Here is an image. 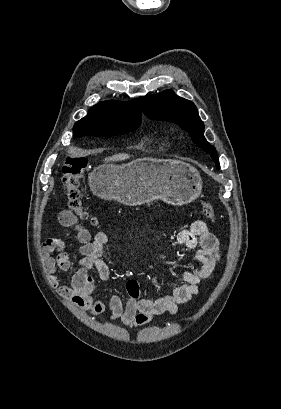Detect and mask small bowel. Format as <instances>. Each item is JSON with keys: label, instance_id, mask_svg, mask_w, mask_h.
<instances>
[{"label": "small bowel", "instance_id": "c3829d8e", "mask_svg": "<svg viewBox=\"0 0 281 409\" xmlns=\"http://www.w3.org/2000/svg\"><path fill=\"white\" fill-rule=\"evenodd\" d=\"M59 222L63 227L76 230L80 243V259L78 269L71 279V285L59 286V276L70 269L71 262L64 251L65 244L61 239H47L40 247V254L51 285L70 303L78 308L89 310L93 315L101 314L108 308L112 321H120L131 329L150 323L157 315L176 314L179 305L190 301L198 294L199 284L212 278L221 260L217 237L205 222L194 220L188 229L175 235L174 242L196 250L195 258L201 265L179 275L178 280L182 284L174 287L172 295L157 299L143 298L139 294L138 282L131 279L126 284L128 298L125 301L119 295H111L103 301L94 295L97 280L90 271L95 268L101 280H107L110 277V270L101 258L103 247L109 237L99 232L92 238L90 232L79 223L70 210L60 212ZM55 251L58 255L54 258L51 253Z\"/></svg>", "mask_w": 281, "mask_h": 409}]
</instances>
